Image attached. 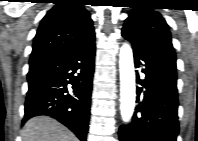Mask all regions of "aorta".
Listing matches in <instances>:
<instances>
[{
	"mask_svg": "<svg viewBox=\"0 0 198 141\" xmlns=\"http://www.w3.org/2000/svg\"><path fill=\"white\" fill-rule=\"evenodd\" d=\"M120 70V111L122 120L130 121L135 107L136 87L133 51L128 43H124L119 54Z\"/></svg>",
	"mask_w": 198,
	"mask_h": 141,
	"instance_id": "obj_1",
	"label": "aorta"
}]
</instances>
